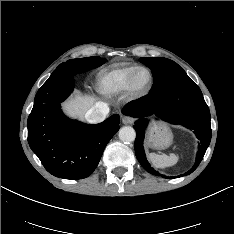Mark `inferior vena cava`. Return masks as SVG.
<instances>
[{"instance_id":"inferior-vena-cava-1","label":"inferior vena cava","mask_w":234,"mask_h":234,"mask_svg":"<svg viewBox=\"0 0 234 234\" xmlns=\"http://www.w3.org/2000/svg\"><path fill=\"white\" fill-rule=\"evenodd\" d=\"M109 113V107L106 103L97 102L92 108H90L86 114L85 118L88 122L96 124L105 120Z\"/></svg>"}]
</instances>
